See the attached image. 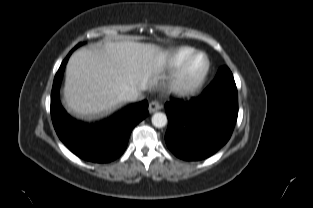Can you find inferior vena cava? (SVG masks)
Listing matches in <instances>:
<instances>
[{
  "mask_svg": "<svg viewBox=\"0 0 313 208\" xmlns=\"http://www.w3.org/2000/svg\"><path fill=\"white\" fill-rule=\"evenodd\" d=\"M140 92L137 88L131 87L127 88L120 94V99L122 101L134 102L139 99Z\"/></svg>",
  "mask_w": 313,
  "mask_h": 208,
  "instance_id": "602c4592",
  "label": "inferior vena cava"
}]
</instances>
